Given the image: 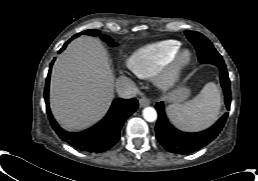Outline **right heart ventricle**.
I'll use <instances>...</instances> for the list:
<instances>
[{"label":"right heart ventricle","mask_w":258,"mask_h":181,"mask_svg":"<svg viewBox=\"0 0 258 181\" xmlns=\"http://www.w3.org/2000/svg\"><path fill=\"white\" fill-rule=\"evenodd\" d=\"M179 48L180 42L176 40L144 45L131 54L128 66L137 76L150 78L173 60Z\"/></svg>","instance_id":"obj_1"}]
</instances>
